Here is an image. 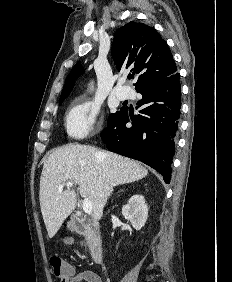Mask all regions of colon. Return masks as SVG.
<instances>
[{
  "mask_svg": "<svg viewBox=\"0 0 232 282\" xmlns=\"http://www.w3.org/2000/svg\"><path fill=\"white\" fill-rule=\"evenodd\" d=\"M50 265L54 275L60 282H69L71 267L58 255L50 257Z\"/></svg>",
  "mask_w": 232,
  "mask_h": 282,
  "instance_id": "obj_1",
  "label": "colon"
}]
</instances>
